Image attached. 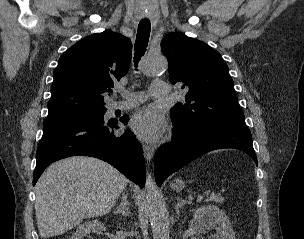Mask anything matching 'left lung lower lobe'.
I'll return each instance as SVG.
<instances>
[{
    "label": "left lung lower lobe",
    "mask_w": 304,
    "mask_h": 239,
    "mask_svg": "<svg viewBox=\"0 0 304 239\" xmlns=\"http://www.w3.org/2000/svg\"><path fill=\"white\" fill-rule=\"evenodd\" d=\"M173 125L172 142L159 148L155 156L154 172L158 186L192 160L216 149L241 150L258 165L252 136L246 125L221 124L197 133H189L174 121Z\"/></svg>",
    "instance_id": "1"
}]
</instances>
